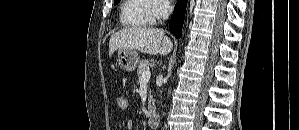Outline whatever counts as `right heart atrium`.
<instances>
[{
	"mask_svg": "<svg viewBox=\"0 0 299 130\" xmlns=\"http://www.w3.org/2000/svg\"><path fill=\"white\" fill-rule=\"evenodd\" d=\"M152 1V0H151ZM155 9H154V18L157 20H161L165 18L170 11L172 10V4L167 0H153L152 1Z\"/></svg>",
	"mask_w": 299,
	"mask_h": 130,
	"instance_id": "d8ad5b80",
	"label": "right heart atrium"
}]
</instances>
